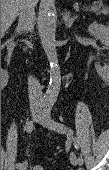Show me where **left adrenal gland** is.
<instances>
[{
	"label": "left adrenal gland",
	"instance_id": "left-adrenal-gland-1",
	"mask_svg": "<svg viewBox=\"0 0 109 170\" xmlns=\"http://www.w3.org/2000/svg\"><path fill=\"white\" fill-rule=\"evenodd\" d=\"M77 15H74V16H71V14L66 11L64 14H63V20L65 22V25L68 27V28H71L74 21L77 19Z\"/></svg>",
	"mask_w": 109,
	"mask_h": 170
}]
</instances>
